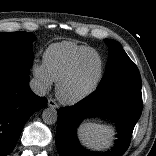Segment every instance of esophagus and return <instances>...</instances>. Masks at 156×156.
I'll return each instance as SVG.
<instances>
[{"instance_id": "1", "label": "esophagus", "mask_w": 156, "mask_h": 156, "mask_svg": "<svg viewBox=\"0 0 156 156\" xmlns=\"http://www.w3.org/2000/svg\"><path fill=\"white\" fill-rule=\"evenodd\" d=\"M48 106H50L52 108H58V104L54 99H49L48 100Z\"/></svg>"}]
</instances>
